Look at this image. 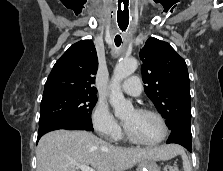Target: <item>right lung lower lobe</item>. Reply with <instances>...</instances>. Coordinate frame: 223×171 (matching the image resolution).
Instances as JSON below:
<instances>
[{
    "label": "right lung lower lobe",
    "instance_id": "right-lung-lower-lobe-1",
    "mask_svg": "<svg viewBox=\"0 0 223 171\" xmlns=\"http://www.w3.org/2000/svg\"><path fill=\"white\" fill-rule=\"evenodd\" d=\"M58 129L93 131L92 124L86 123L74 117H57L39 124L37 141L47 132Z\"/></svg>",
    "mask_w": 223,
    "mask_h": 171
}]
</instances>
